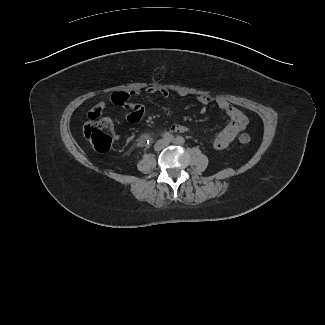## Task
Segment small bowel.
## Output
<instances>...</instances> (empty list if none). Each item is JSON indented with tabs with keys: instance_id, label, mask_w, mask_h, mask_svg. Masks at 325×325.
I'll use <instances>...</instances> for the list:
<instances>
[{
	"instance_id": "1",
	"label": "small bowel",
	"mask_w": 325,
	"mask_h": 325,
	"mask_svg": "<svg viewBox=\"0 0 325 325\" xmlns=\"http://www.w3.org/2000/svg\"><path fill=\"white\" fill-rule=\"evenodd\" d=\"M146 92L149 94H157L163 98H168L170 96V91L162 86L152 85L146 88ZM142 92L140 90H133L130 92H116L113 95V101L119 106L128 108L126 113L127 121L131 123L139 122L145 115V107L141 103L129 104L128 100L132 96H140ZM179 96H186L187 93L184 91L178 92ZM197 100L206 106L213 101V98L209 95H199ZM217 106L222 109L230 118V121L223 127V129L213 137V145L217 149L227 148L237 137V135L242 132L247 125L246 115L230 104L226 99L218 97L216 98ZM121 102V103H120ZM106 109V103L101 101L97 103L89 113L98 114L101 116L103 111ZM202 113L205 112L203 108ZM170 130L174 133H183L187 131L184 125L172 124Z\"/></svg>"
}]
</instances>
